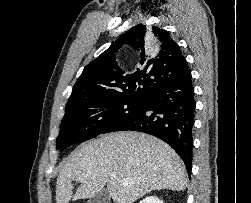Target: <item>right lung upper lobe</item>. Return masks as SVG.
Masks as SVG:
<instances>
[{
    "mask_svg": "<svg viewBox=\"0 0 251 203\" xmlns=\"http://www.w3.org/2000/svg\"><path fill=\"white\" fill-rule=\"evenodd\" d=\"M149 33L157 36L161 45L158 53L146 55L144 40ZM124 44L141 51V65L131 74L119 68L115 60V53ZM188 69L179 46L166 30L139 24L84 68L73 87L67 106L90 100H144L152 91L178 79Z\"/></svg>",
    "mask_w": 251,
    "mask_h": 203,
    "instance_id": "1",
    "label": "right lung upper lobe"
}]
</instances>
